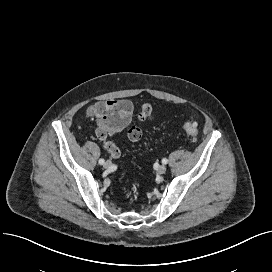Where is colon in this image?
Listing matches in <instances>:
<instances>
[{"mask_svg": "<svg viewBox=\"0 0 272 272\" xmlns=\"http://www.w3.org/2000/svg\"><path fill=\"white\" fill-rule=\"evenodd\" d=\"M97 113V135L99 138L105 137L109 132L119 131L128 121V116L122 114L119 109L113 106L100 107ZM183 129L191 139H195L198 135V125L194 121L184 123ZM128 136L133 139H140L142 136L141 127L138 125L132 126L128 131Z\"/></svg>", "mask_w": 272, "mask_h": 272, "instance_id": "1", "label": "colon"}]
</instances>
